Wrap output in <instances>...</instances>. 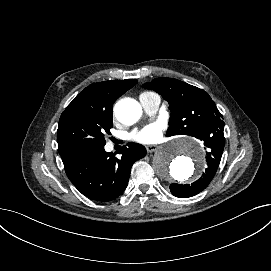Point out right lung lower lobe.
<instances>
[{
    "label": "right lung lower lobe",
    "mask_w": 271,
    "mask_h": 271,
    "mask_svg": "<svg viewBox=\"0 0 271 271\" xmlns=\"http://www.w3.org/2000/svg\"><path fill=\"white\" fill-rule=\"evenodd\" d=\"M120 159L111 156L104 146L75 152L62 158L65 172L73 185L88 198L108 202L125 190L135 161L146 155L139 144L128 143Z\"/></svg>",
    "instance_id": "1"
}]
</instances>
